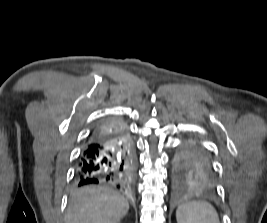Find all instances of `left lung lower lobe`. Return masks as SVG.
<instances>
[{
    "label": "left lung lower lobe",
    "mask_w": 267,
    "mask_h": 223,
    "mask_svg": "<svg viewBox=\"0 0 267 223\" xmlns=\"http://www.w3.org/2000/svg\"><path fill=\"white\" fill-rule=\"evenodd\" d=\"M176 177L184 182L183 189H211L210 176H217V171H176Z\"/></svg>",
    "instance_id": "0a47b994"
}]
</instances>
